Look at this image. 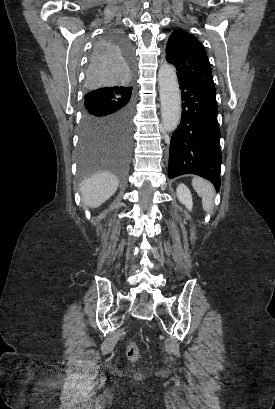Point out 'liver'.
I'll use <instances>...</instances> for the list:
<instances>
[{
	"label": "liver",
	"mask_w": 275,
	"mask_h": 409,
	"mask_svg": "<svg viewBox=\"0 0 275 409\" xmlns=\"http://www.w3.org/2000/svg\"><path fill=\"white\" fill-rule=\"evenodd\" d=\"M118 188V178L112 172H96L90 178H85L80 184L82 200L87 207L97 209L110 198Z\"/></svg>",
	"instance_id": "6515ba94"
}]
</instances>
